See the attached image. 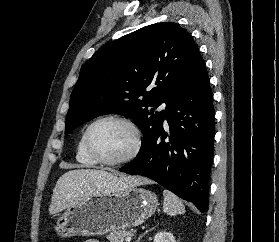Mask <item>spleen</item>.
<instances>
[{
    "label": "spleen",
    "instance_id": "obj_1",
    "mask_svg": "<svg viewBox=\"0 0 279 242\" xmlns=\"http://www.w3.org/2000/svg\"><path fill=\"white\" fill-rule=\"evenodd\" d=\"M163 196V210L165 213L174 216L176 214H182L185 212V207L182 201L174 193L170 192L169 190H164Z\"/></svg>",
    "mask_w": 279,
    "mask_h": 242
}]
</instances>
